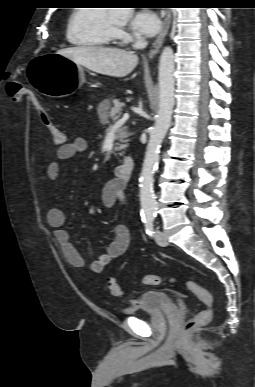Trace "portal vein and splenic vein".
Segmentation results:
<instances>
[{
	"mask_svg": "<svg viewBox=\"0 0 255 387\" xmlns=\"http://www.w3.org/2000/svg\"><path fill=\"white\" fill-rule=\"evenodd\" d=\"M129 119V114L128 113H125L123 115V117L121 119H119L117 122H116V126L119 127L121 125H123L127 120Z\"/></svg>",
	"mask_w": 255,
	"mask_h": 387,
	"instance_id": "1",
	"label": "portal vein and splenic vein"
}]
</instances>
